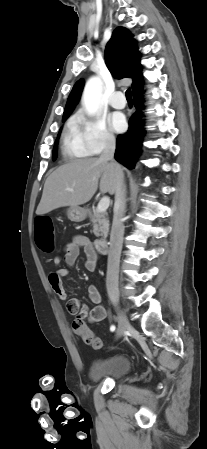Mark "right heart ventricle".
I'll list each match as a JSON object with an SVG mask.
<instances>
[{"label":"right heart ventricle","mask_w":207,"mask_h":449,"mask_svg":"<svg viewBox=\"0 0 207 449\" xmlns=\"http://www.w3.org/2000/svg\"><path fill=\"white\" fill-rule=\"evenodd\" d=\"M61 149L67 159L84 158L90 155L81 139L75 118H71L67 123Z\"/></svg>","instance_id":"right-heart-ventricle-1"}]
</instances>
